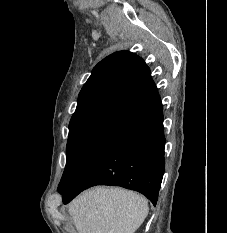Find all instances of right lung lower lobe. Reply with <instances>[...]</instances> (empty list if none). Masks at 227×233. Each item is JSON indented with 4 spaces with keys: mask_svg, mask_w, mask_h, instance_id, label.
I'll return each instance as SVG.
<instances>
[{
    "mask_svg": "<svg viewBox=\"0 0 227 233\" xmlns=\"http://www.w3.org/2000/svg\"><path fill=\"white\" fill-rule=\"evenodd\" d=\"M164 146L161 109L118 134L70 188L60 191L63 202L89 187L112 185L138 191L156 205L165 169Z\"/></svg>",
    "mask_w": 227,
    "mask_h": 233,
    "instance_id": "1",
    "label": "right lung lower lobe"
}]
</instances>
